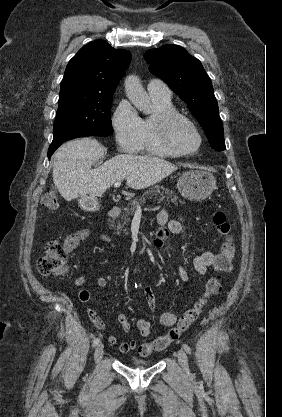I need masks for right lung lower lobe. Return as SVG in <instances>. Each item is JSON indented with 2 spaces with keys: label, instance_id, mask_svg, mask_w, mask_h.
<instances>
[{
  "label": "right lung lower lobe",
  "instance_id": "right-lung-lower-lobe-1",
  "mask_svg": "<svg viewBox=\"0 0 282 417\" xmlns=\"http://www.w3.org/2000/svg\"><path fill=\"white\" fill-rule=\"evenodd\" d=\"M87 136H91L88 135L86 133L83 132H72V133H67L64 135H60L58 137L53 138V141L49 147L48 150V158L50 159L51 155L54 153V151L65 141L73 139V138H77V137H87Z\"/></svg>",
  "mask_w": 282,
  "mask_h": 417
}]
</instances>
